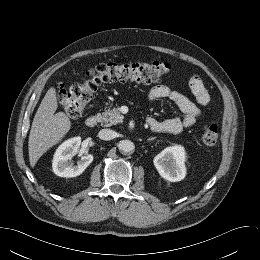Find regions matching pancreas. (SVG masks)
<instances>
[{"mask_svg": "<svg viewBox=\"0 0 260 260\" xmlns=\"http://www.w3.org/2000/svg\"><path fill=\"white\" fill-rule=\"evenodd\" d=\"M99 121L105 127H110L117 123L123 122V116L121 115L119 108L108 109L99 115Z\"/></svg>", "mask_w": 260, "mask_h": 260, "instance_id": "cf45deb5", "label": "pancreas"}]
</instances>
